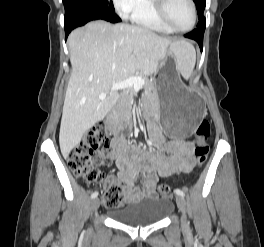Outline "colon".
Instances as JSON below:
<instances>
[{
	"label": "colon",
	"instance_id": "5ec220e1",
	"mask_svg": "<svg viewBox=\"0 0 264 247\" xmlns=\"http://www.w3.org/2000/svg\"><path fill=\"white\" fill-rule=\"evenodd\" d=\"M211 126L207 120H202L194 134V154L197 165L202 166L209 153L208 138ZM108 134L104 127L99 126L87 134L83 140L68 155L67 163L70 170L79 178L91 184H103V204L107 208H117L123 204L122 191L118 182L108 178L100 170L105 163V145ZM157 192L161 197L170 195V188L167 185H160Z\"/></svg>",
	"mask_w": 264,
	"mask_h": 247
}]
</instances>
